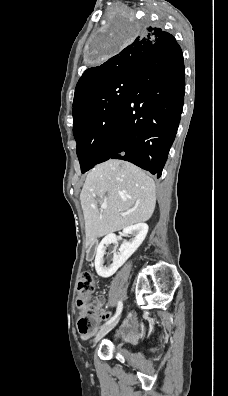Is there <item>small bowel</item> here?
Listing matches in <instances>:
<instances>
[{"instance_id":"c3829d8e","label":"small bowel","mask_w":228,"mask_h":396,"mask_svg":"<svg viewBox=\"0 0 228 396\" xmlns=\"http://www.w3.org/2000/svg\"><path fill=\"white\" fill-rule=\"evenodd\" d=\"M108 316H109V313L106 312V311H103V312H101V313L99 314L98 320L101 321V320L107 318ZM93 333H94V331H92V332L89 333V334L82 335V338H83V339H88ZM118 335H121V336H128V337H130L131 339H134L135 336H136V335H135V327H134L133 325H131L130 323L125 322V323L121 326V328L119 329Z\"/></svg>"}]
</instances>
